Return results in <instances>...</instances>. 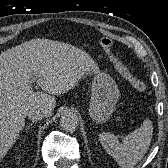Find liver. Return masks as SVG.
<instances>
[{
	"label": "liver",
	"instance_id": "1",
	"mask_svg": "<svg viewBox=\"0 0 168 168\" xmlns=\"http://www.w3.org/2000/svg\"><path fill=\"white\" fill-rule=\"evenodd\" d=\"M92 71L99 69L85 51L48 39H32L1 53L0 161L18 139L29 110L50 116L56 106L54 95L73 89ZM33 78L47 93L33 91Z\"/></svg>",
	"mask_w": 168,
	"mask_h": 168
}]
</instances>
